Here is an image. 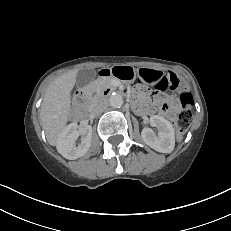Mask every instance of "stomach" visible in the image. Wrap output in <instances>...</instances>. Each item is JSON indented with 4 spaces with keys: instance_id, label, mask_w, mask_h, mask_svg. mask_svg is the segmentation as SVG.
Wrapping results in <instances>:
<instances>
[{
    "instance_id": "0dacf381",
    "label": "stomach",
    "mask_w": 231,
    "mask_h": 231,
    "mask_svg": "<svg viewBox=\"0 0 231 231\" xmlns=\"http://www.w3.org/2000/svg\"><path fill=\"white\" fill-rule=\"evenodd\" d=\"M113 73L120 79H124L129 82L133 81L137 75L142 76L147 82H155L158 79V75L161 74V72L150 69L138 70L129 65H117L113 68Z\"/></svg>"
}]
</instances>
